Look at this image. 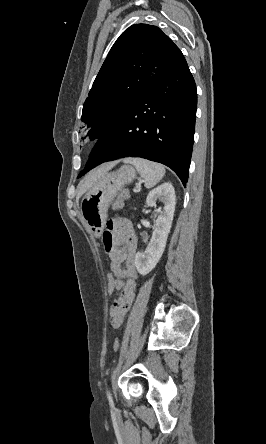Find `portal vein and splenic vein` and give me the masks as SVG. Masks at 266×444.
Here are the masks:
<instances>
[{
  "label": "portal vein and splenic vein",
  "instance_id": "portal-vein-and-splenic-vein-1",
  "mask_svg": "<svg viewBox=\"0 0 266 444\" xmlns=\"http://www.w3.org/2000/svg\"><path fill=\"white\" fill-rule=\"evenodd\" d=\"M133 191H134L135 193H136V192H138V190H137V189H134Z\"/></svg>",
  "mask_w": 266,
  "mask_h": 444
}]
</instances>
